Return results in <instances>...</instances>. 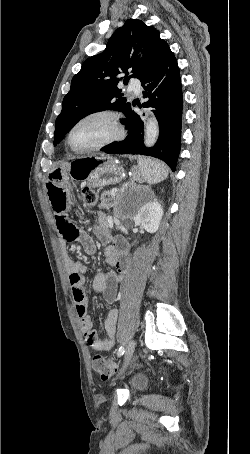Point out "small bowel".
I'll list each match as a JSON object with an SVG mask.
<instances>
[{
	"label": "small bowel",
	"mask_w": 250,
	"mask_h": 454,
	"mask_svg": "<svg viewBox=\"0 0 250 454\" xmlns=\"http://www.w3.org/2000/svg\"><path fill=\"white\" fill-rule=\"evenodd\" d=\"M76 189L77 184L73 177L61 172L51 173L46 182L47 195L62 238L66 242L78 240L87 254H93L96 251L95 242L85 232L76 228L68 215ZM95 233L100 241L109 240L107 224L102 216L95 227ZM105 259L114 270L98 273L94 277L93 288L105 298L108 304H113L117 301L118 285L127 269L128 248L126 243L121 238L113 239L112 243L105 248ZM65 266L85 342L97 351L110 350L115 342L118 310L110 309L104 325L106 336L99 338L97 332L92 328V322L87 313L88 302L84 283L89 272L88 267L73 261L69 256H65Z\"/></svg>",
	"instance_id": "c3829d8e"
}]
</instances>
